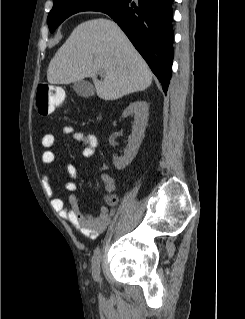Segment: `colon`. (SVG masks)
Segmentation results:
<instances>
[{"label": "colon", "instance_id": "5ec220e1", "mask_svg": "<svg viewBox=\"0 0 245 319\" xmlns=\"http://www.w3.org/2000/svg\"><path fill=\"white\" fill-rule=\"evenodd\" d=\"M63 101L64 93L58 86L50 84H42L38 86L35 109L39 115L47 116L51 114L63 103ZM105 201L109 206H113L116 203V198L114 196H107Z\"/></svg>", "mask_w": 245, "mask_h": 319}]
</instances>
